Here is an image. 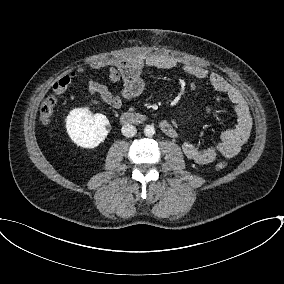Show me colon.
Returning <instances> with one entry per match:
<instances>
[{
	"instance_id": "colon-1",
	"label": "colon",
	"mask_w": 284,
	"mask_h": 284,
	"mask_svg": "<svg viewBox=\"0 0 284 284\" xmlns=\"http://www.w3.org/2000/svg\"><path fill=\"white\" fill-rule=\"evenodd\" d=\"M56 103H57V99L54 95L48 96L42 102L41 107H40V119L43 124L50 123L53 113H54ZM226 166H227V163L222 161V162L217 163L216 168L219 170H223L224 168H226Z\"/></svg>"
}]
</instances>
